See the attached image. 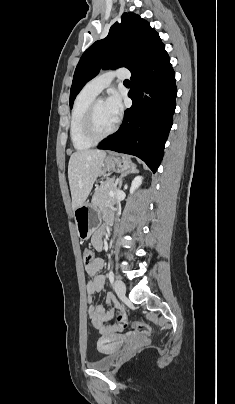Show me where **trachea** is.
<instances>
[{
    "label": "trachea",
    "instance_id": "trachea-1",
    "mask_svg": "<svg viewBox=\"0 0 235 404\" xmlns=\"http://www.w3.org/2000/svg\"><path fill=\"white\" fill-rule=\"evenodd\" d=\"M124 83H130V81H129V80H125Z\"/></svg>",
    "mask_w": 235,
    "mask_h": 404
}]
</instances>
